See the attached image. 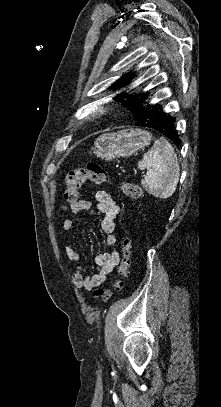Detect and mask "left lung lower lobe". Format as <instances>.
<instances>
[{
    "instance_id": "obj_1",
    "label": "left lung lower lobe",
    "mask_w": 221,
    "mask_h": 407,
    "mask_svg": "<svg viewBox=\"0 0 221 407\" xmlns=\"http://www.w3.org/2000/svg\"><path fill=\"white\" fill-rule=\"evenodd\" d=\"M148 97L149 93H144L141 97V105L135 115V125L155 129L179 146L181 140L174 126L175 118L163 112L159 104L150 103Z\"/></svg>"
}]
</instances>
